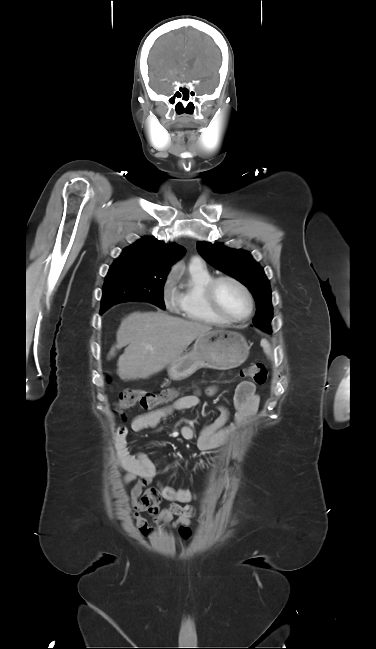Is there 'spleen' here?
Masks as SVG:
<instances>
[{"label":"spleen","instance_id":"3e777b00","mask_svg":"<svg viewBox=\"0 0 376 649\" xmlns=\"http://www.w3.org/2000/svg\"><path fill=\"white\" fill-rule=\"evenodd\" d=\"M261 346L264 349V352L269 356L271 355V350H270V344L267 342V340H262L261 341Z\"/></svg>","mask_w":376,"mask_h":649}]
</instances>
